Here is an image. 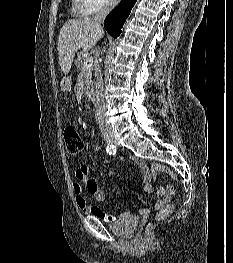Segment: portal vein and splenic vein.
Listing matches in <instances>:
<instances>
[{"label":"portal vein and splenic vein","mask_w":233,"mask_h":263,"mask_svg":"<svg viewBox=\"0 0 233 263\" xmlns=\"http://www.w3.org/2000/svg\"><path fill=\"white\" fill-rule=\"evenodd\" d=\"M93 65V58L92 57H86L85 61H84V67L88 68L91 67Z\"/></svg>","instance_id":"1"}]
</instances>
